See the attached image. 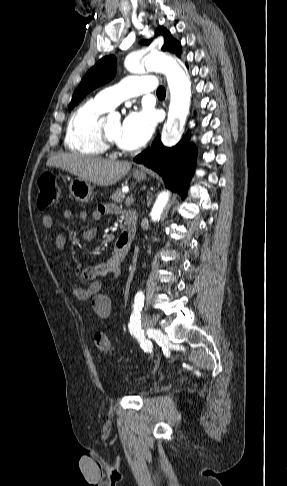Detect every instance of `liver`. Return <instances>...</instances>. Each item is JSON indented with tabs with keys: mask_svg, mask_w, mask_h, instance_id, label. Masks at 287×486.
<instances>
[{
	"mask_svg": "<svg viewBox=\"0 0 287 486\" xmlns=\"http://www.w3.org/2000/svg\"><path fill=\"white\" fill-rule=\"evenodd\" d=\"M46 165L66 170L79 179L100 186H109L121 180L131 169L132 163L91 158L74 153L52 156Z\"/></svg>",
	"mask_w": 287,
	"mask_h": 486,
	"instance_id": "6515ba94",
	"label": "liver"
}]
</instances>
